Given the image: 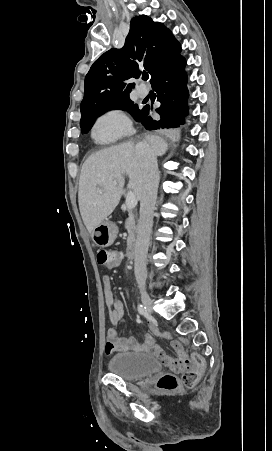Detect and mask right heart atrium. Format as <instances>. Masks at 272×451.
<instances>
[{"mask_svg":"<svg viewBox=\"0 0 272 451\" xmlns=\"http://www.w3.org/2000/svg\"><path fill=\"white\" fill-rule=\"evenodd\" d=\"M129 120L120 111H111L101 116L93 128L96 140H106L124 135L129 129Z\"/></svg>","mask_w":272,"mask_h":451,"instance_id":"d8ad5b80","label":"right heart atrium"}]
</instances>
